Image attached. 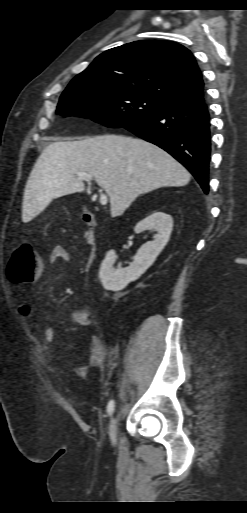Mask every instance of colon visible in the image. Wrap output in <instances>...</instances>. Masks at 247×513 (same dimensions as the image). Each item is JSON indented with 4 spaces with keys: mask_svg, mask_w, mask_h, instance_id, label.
I'll use <instances>...</instances> for the list:
<instances>
[{
    "mask_svg": "<svg viewBox=\"0 0 247 513\" xmlns=\"http://www.w3.org/2000/svg\"><path fill=\"white\" fill-rule=\"evenodd\" d=\"M41 269L34 246L28 242L20 243L9 261L7 278L11 284L29 283L34 281Z\"/></svg>",
    "mask_w": 247,
    "mask_h": 513,
    "instance_id": "5ec220e1",
    "label": "colon"
}]
</instances>
